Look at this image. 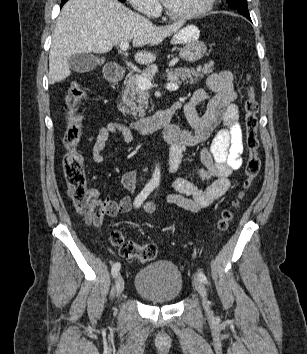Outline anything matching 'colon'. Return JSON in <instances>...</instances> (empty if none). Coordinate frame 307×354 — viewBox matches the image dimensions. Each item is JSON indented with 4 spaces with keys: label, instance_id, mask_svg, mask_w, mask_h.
Returning a JSON list of instances; mask_svg holds the SVG:
<instances>
[{
    "label": "colon",
    "instance_id": "1",
    "mask_svg": "<svg viewBox=\"0 0 307 354\" xmlns=\"http://www.w3.org/2000/svg\"><path fill=\"white\" fill-rule=\"evenodd\" d=\"M86 97L84 88L77 82L73 83L66 97L67 127L63 137L67 149L62 167L68 185L69 194L75 209L86 217L89 223L99 225L108 213V206L95 199L86 186V174L83 157L78 149L81 138V117L78 107ZM245 135L248 156L245 163V180L243 189L232 202L231 207L223 210L217 223L220 233L225 232L233 219L235 210L239 207L247 191L252 187L259 174L261 161L259 157V141L257 137L258 109L255 89L250 86L245 101ZM110 243L118 249L119 255L125 259H137L141 262L152 261L157 256V248L153 244L140 245L125 239L119 231L110 235Z\"/></svg>",
    "mask_w": 307,
    "mask_h": 354
}]
</instances>
